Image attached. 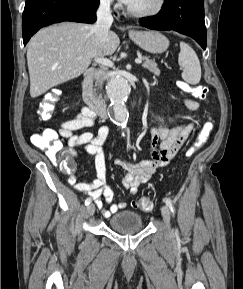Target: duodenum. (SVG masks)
I'll return each mask as SVG.
<instances>
[{
	"instance_id": "duodenum-1",
	"label": "duodenum",
	"mask_w": 243,
	"mask_h": 289,
	"mask_svg": "<svg viewBox=\"0 0 243 289\" xmlns=\"http://www.w3.org/2000/svg\"><path fill=\"white\" fill-rule=\"evenodd\" d=\"M95 69H87L83 74L82 79V97L85 104L100 118H107L109 110L107 104L101 100L93 91V79L95 76Z\"/></svg>"
}]
</instances>
